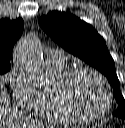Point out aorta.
<instances>
[{
  "instance_id": "762f6f07",
  "label": "aorta",
  "mask_w": 125,
  "mask_h": 128,
  "mask_svg": "<svg viewBox=\"0 0 125 128\" xmlns=\"http://www.w3.org/2000/svg\"><path fill=\"white\" fill-rule=\"evenodd\" d=\"M15 61L38 85L48 84V72L42 62L35 36H28L17 45Z\"/></svg>"
}]
</instances>
